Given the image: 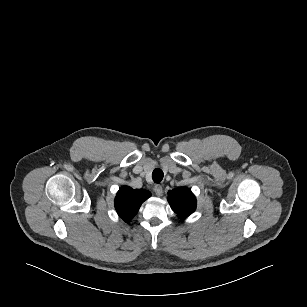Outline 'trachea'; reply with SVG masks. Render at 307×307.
<instances>
[{"instance_id":"obj_1","label":"trachea","mask_w":307,"mask_h":307,"mask_svg":"<svg viewBox=\"0 0 307 307\" xmlns=\"http://www.w3.org/2000/svg\"><path fill=\"white\" fill-rule=\"evenodd\" d=\"M164 173L161 169L157 168L152 173V179L155 183H160L163 179Z\"/></svg>"}]
</instances>
